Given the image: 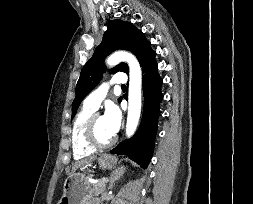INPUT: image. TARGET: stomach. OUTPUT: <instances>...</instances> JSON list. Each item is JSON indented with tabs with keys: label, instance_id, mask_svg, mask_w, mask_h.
I'll list each match as a JSON object with an SVG mask.
<instances>
[{
	"label": "stomach",
	"instance_id": "1",
	"mask_svg": "<svg viewBox=\"0 0 253 204\" xmlns=\"http://www.w3.org/2000/svg\"><path fill=\"white\" fill-rule=\"evenodd\" d=\"M98 164L103 169H114L116 158L108 154H102L98 158ZM91 172L88 167H83L81 171L71 172L64 181L63 195L57 204H89L94 198L91 184L88 181Z\"/></svg>",
	"mask_w": 253,
	"mask_h": 204
}]
</instances>
